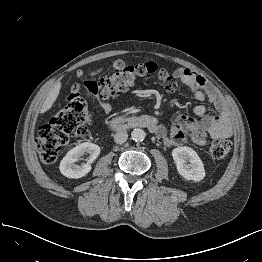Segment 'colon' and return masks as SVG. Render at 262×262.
<instances>
[{"mask_svg": "<svg viewBox=\"0 0 262 262\" xmlns=\"http://www.w3.org/2000/svg\"><path fill=\"white\" fill-rule=\"evenodd\" d=\"M154 62H142L134 65L116 63L112 73L99 79H84L78 72L76 79L70 84V95L59 111L52 115L39 129L35 145L41 160L48 165L54 164L62 148L76 136H88L87 123L90 112L80 94L86 89L98 98L104 99L122 92L140 78L159 72ZM231 149V143L218 138L208 145L207 151L214 159L225 157Z\"/></svg>", "mask_w": 262, "mask_h": 262, "instance_id": "colon-1", "label": "colon"}]
</instances>
